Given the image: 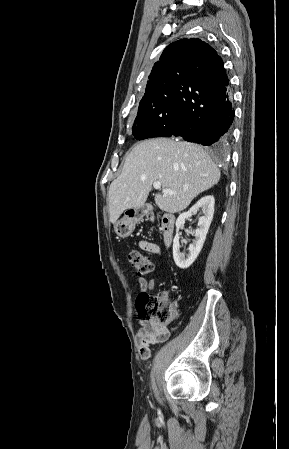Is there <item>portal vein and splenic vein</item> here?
Returning a JSON list of instances; mask_svg holds the SVG:
<instances>
[{"instance_id": "1", "label": "portal vein and splenic vein", "mask_w": 289, "mask_h": 449, "mask_svg": "<svg viewBox=\"0 0 289 449\" xmlns=\"http://www.w3.org/2000/svg\"><path fill=\"white\" fill-rule=\"evenodd\" d=\"M153 187L155 189H160L161 188V182H155L153 183ZM164 193L165 194H175L174 191H172L171 189H164Z\"/></svg>"}]
</instances>
